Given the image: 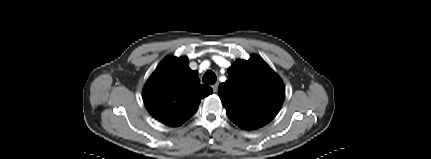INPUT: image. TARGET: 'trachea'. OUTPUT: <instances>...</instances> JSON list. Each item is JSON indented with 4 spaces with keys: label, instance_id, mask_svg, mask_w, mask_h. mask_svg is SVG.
<instances>
[{
    "label": "trachea",
    "instance_id": "trachea-1",
    "mask_svg": "<svg viewBox=\"0 0 431 159\" xmlns=\"http://www.w3.org/2000/svg\"><path fill=\"white\" fill-rule=\"evenodd\" d=\"M216 79H217L216 74L214 72H212L211 70H208L204 74L202 81L205 84L211 85V84H214L216 82Z\"/></svg>",
    "mask_w": 431,
    "mask_h": 159
}]
</instances>
